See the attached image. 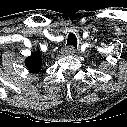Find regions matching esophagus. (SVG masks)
<instances>
[{
  "mask_svg": "<svg viewBox=\"0 0 127 127\" xmlns=\"http://www.w3.org/2000/svg\"><path fill=\"white\" fill-rule=\"evenodd\" d=\"M76 49L72 46H68L64 49H62L61 53L63 55H73L75 53Z\"/></svg>",
  "mask_w": 127,
  "mask_h": 127,
  "instance_id": "obj_1",
  "label": "esophagus"
}]
</instances>
